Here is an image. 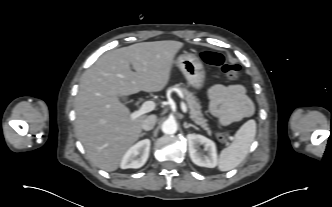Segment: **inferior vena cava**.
<instances>
[{
    "label": "inferior vena cava",
    "instance_id": "obj_1",
    "mask_svg": "<svg viewBox=\"0 0 332 207\" xmlns=\"http://www.w3.org/2000/svg\"><path fill=\"white\" fill-rule=\"evenodd\" d=\"M156 120H157V117L155 115L147 116L142 123V129L146 130V131L153 129L155 126Z\"/></svg>",
    "mask_w": 332,
    "mask_h": 207
}]
</instances>
